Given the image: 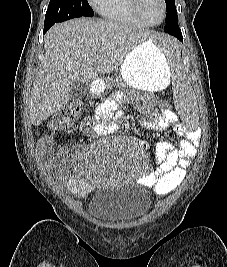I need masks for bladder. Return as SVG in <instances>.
Returning <instances> with one entry per match:
<instances>
[{
    "label": "bladder",
    "instance_id": "31cf9c89",
    "mask_svg": "<svg viewBox=\"0 0 227 267\" xmlns=\"http://www.w3.org/2000/svg\"><path fill=\"white\" fill-rule=\"evenodd\" d=\"M149 195L133 185L100 188L92 194L88 209L98 221L108 225L130 224L150 208Z\"/></svg>",
    "mask_w": 227,
    "mask_h": 267
}]
</instances>
